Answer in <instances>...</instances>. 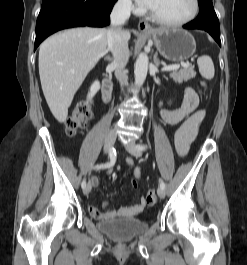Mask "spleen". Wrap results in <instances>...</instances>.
<instances>
[{
    "label": "spleen",
    "instance_id": "1",
    "mask_svg": "<svg viewBox=\"0 0 247 265\" xmlns=\"http://www.w3.org/2000/svg\"><path fill=\"white\" fill-rule=\"evenodd\" d=\"M197 64L199 67V72L202 77L205 79H212L214 77L215 69L212 59L207 56L203 55L198 58Z\"/></svg>",
    "mask_w": 247,
    "mask_h": 265
}]
</instances>
